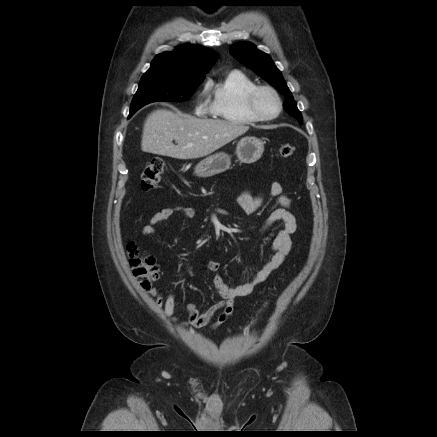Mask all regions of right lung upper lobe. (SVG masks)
Wrapping results in <instances>:
<instances>
[{
  "instance_id": "1",
  "label": "right lung upper lobe",
  "mask_w": 437,
  "mask_h": 437,
  "mask_svg": "<svg viewBox=\"0 0 437 437\" xmlns=\"http://www.w3.org/2000/svg\"><path fill=\"white\" fill-rule=\"evenodd\" d=\"M218 54L198 45H181L157 55L146 72H165L185 80L204 79Z\"/></svg>"
}]
</instances>
